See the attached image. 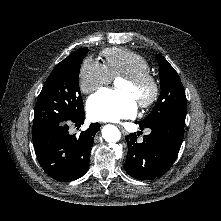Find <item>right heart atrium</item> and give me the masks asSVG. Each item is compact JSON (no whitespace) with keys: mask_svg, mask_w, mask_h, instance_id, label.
Returning <instances> with one entry per match:
<instances>
[{"mask_svg":"<svg viewBox=\"0 0 221 221\" xmlns=\"http://www.w3.org/2000/svg\"><path fill=\"white\" fill-rule=\"evenodd\" d=\"M105 66L97 60L87 58L81 64L78 74L79 89L84 94H89L111 82Z\"/></svg>","mask_w":221,"mask_h":221,"instance_id":"right-heart-atrium-1","label":"right heart atrium"}]
</instances>
